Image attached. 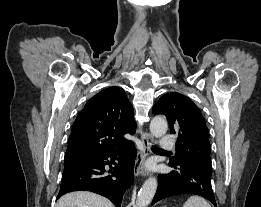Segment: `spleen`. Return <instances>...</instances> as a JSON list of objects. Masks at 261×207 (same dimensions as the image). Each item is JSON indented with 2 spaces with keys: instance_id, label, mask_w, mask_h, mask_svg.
<instances>
[{
  "instance_id": "1",
  "label": "spleen",
  "mask_w": 261,
  "mask_h": 207,
  "mask_svg": "<svg viewBox=\"0 0 261 207\" xmlns=\"http://www.w3.org/2000/svg\"><path fill=\"white\" fill-rule=\"evenodd\" d=\"M183 207H211V206L204 198L199 196H191L184 203Z\"/></svg>"
}]
</instances>
